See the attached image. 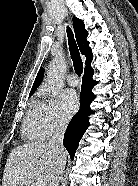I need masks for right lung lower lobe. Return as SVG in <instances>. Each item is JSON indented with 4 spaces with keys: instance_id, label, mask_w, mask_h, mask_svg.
Here are the masks:
<instances>
[{
    "instance_id": "right-lung-lower-lobe-1",
    "label": "right lung lower lobe",
    "mask_w": 138,
    "mask_h": 186,
    "mask_svg": "<svg viewBox=\"0 0 138 186\" xmlns=\"http://www.w3.org/2000/svg\"><path fill=\"white\" fill-rule=\"evenodd\" d=\"M92 76L93 73H84L80 96V111L72 118L65 132L63 144L71 159H74L79 141L89 125L88 116L92 114L90 104L95 98L92 88L96 85V81L92 79Z\"/></svg>"
}]
</instances>
